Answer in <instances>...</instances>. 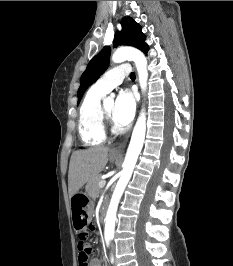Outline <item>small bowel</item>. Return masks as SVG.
I'll use <instances>...</instances> for the list:
<instances>
[{
	"label": "small bowel",
	"mask_w": 233,
	"mask_h": 266,
	"mask_svg": "<svg viewBox=\"0 0 233 266\" xmlns=\"http://www.w3.org/2000/svg\"><path fill=\"white\" fill-rule=\"evenodd\" d=\"M87 266H102V264L98 258H93L90 262H87Z\"/></svg>",
	"instance_id": "obj_1"
}]
</instances>
